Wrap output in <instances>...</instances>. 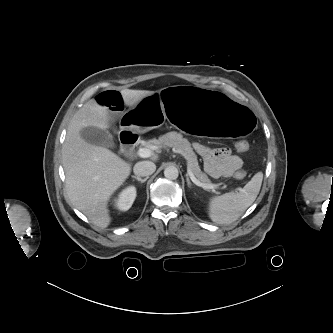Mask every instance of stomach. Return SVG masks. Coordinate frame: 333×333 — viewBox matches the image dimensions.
I'll return each instance as SVG.
<instances>
[{"label": "stomach", "mask_w": 333, "mask_h": 333, "mask_svg": "<svg viewBox=\"0 0 333 333\" xmlns=\"http://www.w3.org/2000/svg\"><path fill=\"white\" fill-rule=\"evenodd\" d=\"M169 122L204 139L241 141L254 130L256 116L250 106L223 94L178 85L148 93L122 118L123 128L136 134Z\"/></svg>", "instance_id": "stomach-1"}]
</instances>
